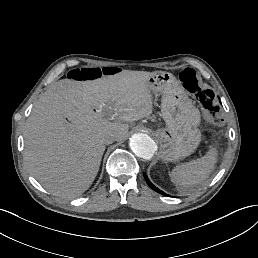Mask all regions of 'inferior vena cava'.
Returning <instances> with one entry per match:
<instances>
[{
	"label": "inferior vena cava",
	"instance_id": "1",
	"mask_svg": "<svg viewBox=\"0 0 258 258\" xmlns=\"http://www.w3.org/2000/svg\"><path fill=\"white\" fill-rule=\"evenodd\" d=\"M116 140H117V134L116 133H107L103 136V142L106 145L111 144Z\"/></svg>",
	"mask_w": 258,
	"mask_h": 258
}]
</instances>
